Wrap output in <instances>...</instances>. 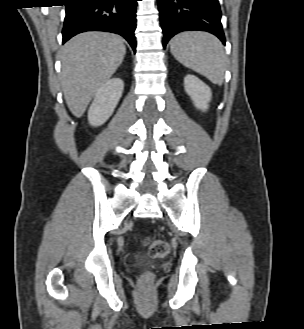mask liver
<instances>
[{"label":"liver","instance_id":"obj_1","mask_svg":"<svg viewBox=\"0 0 304 329\" xmlns=\"http://www.w3.org/2000/svg\"><path fill=\"white\" fill-rule=\"evenodd\" d=\"M123 39L106 32H85L69 40L61 52V86L69 110L81 117L92 97L121 65Z\"/></svg>","mask_w":304,"mask_h":329}]
</instances>
